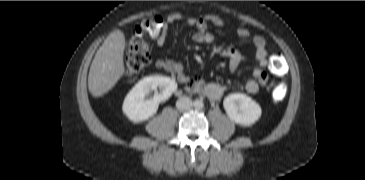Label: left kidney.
Here are the masks:
<instances>
[{
  "label": "left kidney",
  "mask_w": 365,
  "mask_h": 180,
  "mask_svg": "<svg viewBox=\"0 0 365 180\" xmlns=\"http://www.w3.org/2000/svg\"><path fill=\"white\" fill-rule=\"evenodd\" d=\"M228 117L243 126L253 125L261 117V107L245 94L235 93L223 101Z\"/></svg>",
  "instance_id": "1"
}]
</instances>
